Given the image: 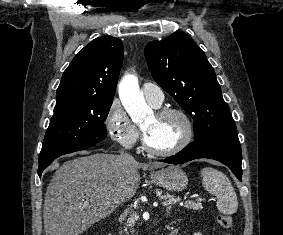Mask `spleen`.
Here are the masks:
<instances>
[{
	"mask_svg": "<svg viewBox=\"0 0 283 235\" xmlns=\"http://www.w3.org/2000/svg\"><path fill=\"white\" fill-rule=\"evenodd\" d=\"M203 188L217 198L216 206L223 214H234L238 208L236 192L228 179L221 171L205 167L201 170Z\"/></svg>",
	"mask_w": 283,
	"mask_h": 235,
	"instance_id": "3e777b00",
	"label": "spleen"
}]
</instances>
